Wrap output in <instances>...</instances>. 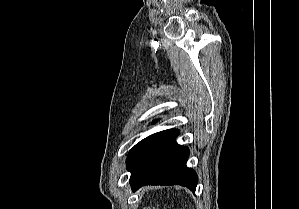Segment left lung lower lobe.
I'll return each mask as SVG.
<instances>
[{"label":"left lung lower lobe","instance_id":"left-lung-lower-lobe-1","mask_svg":"<svg viewBox=\"0 0 299 209\" xmlns=\"http://www.w3.org/2000/svg\"><path fill=\"white\" fill-rule=\"evenodd\" d=\"M178 135L177 129L158 132L146 137L130 150L126 163L131 172L133 191L148 184H179L195 192L197 174L186 166L189 149L175 142Z\"/></svg>","mask_w":299,"mask_h":209}]
</instances>
